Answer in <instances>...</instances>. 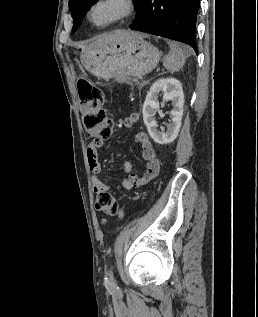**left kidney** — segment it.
Listing matches in <instances>:
<instances>
[{
  "label": "left kidney",
  "mask_w": 258,
  "mask_h": 317,
  "mask_svg": "<svg viewBox=\"0 0 258 317\" xmlns=\"http://www.w3.org/2000/svg\"><path fill=\"white\" fill-rule=\"evenodd\" d=\"M159 92H164V100H172L174 106L169 112L171 122L168 124L166 132L158 130L157 120H155V110L159 108ZM183 106L184 92L180 80H177V78H159V80L153 82L149 92H147L142 112L147 130L155 142L167 144V142H173L177 138L181 126Z\"/></svg>",
  "instance_id": "obj_1"
}]
</instances>
